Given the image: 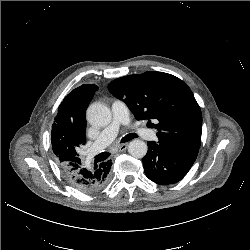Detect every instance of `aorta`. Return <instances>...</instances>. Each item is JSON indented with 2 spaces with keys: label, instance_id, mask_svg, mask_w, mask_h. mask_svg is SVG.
I'll use <instances>...</instances> for the list:
<instances>
[{
  "label": "aorta",
  "instance_id": "1",
  "mask_svg": "<svg viewBox=\"0 0 250 250\" xmlns=\"http://www.w3.org/2000/svg\"><path fill=\"white\" fill-rule=\"evenodd\" d=\"M87 119L89 123L96 127H105L110 124L112 114L110 109L101 103H94L87 110ZM147 144L139 139L130 142L128 152L134 158H143L147 153Z\"/></svg>",
  "mask_w": 250,
  "mask_h": 250
}]
</instances>
